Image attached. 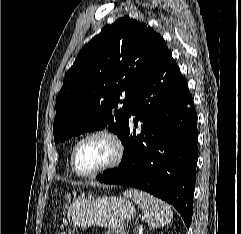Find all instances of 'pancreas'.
Segmentation results:
<instances>
[{
	"mask_svg": "<svg viewBox=\"0 0 241 234\" xmlns=\"http://www.w3.org/2000/svg\"><path fill=\"white\" fill-rule=\"evenodd\" d=\"M107 234H125V231H124L123 228H121V229H112Z\"/></svg>",
	"mask_w": 241,
	"mask_h": 234,
	"instance_id": "pancreas-1",
	"label": "pancreas"
}]
</instances>
